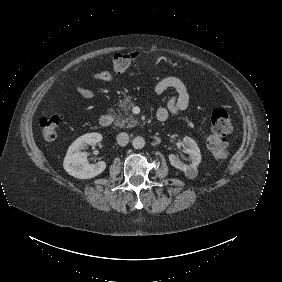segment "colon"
I'll list each match as a JSON object with an SVG mask.
<instances>
[{"mask_svg":"<svg viewBox=\"0 0 282 282\" xmlns=\"http://www.w3.org/2000/svg\"><path fill=\"white\" fill-rule=\"evenodd\" d=\"M140 60V53H117L113 58V67L118 72H124L134 66ZM210 133L207 138V149L210 154L220 160L227 157L228 142L227 136L232 128V117L228 109H215L210 118ZM61 120L58 115L45 116L40 121L41 134L45 140L56 138Z\"/></svg>","mask_w":282,"mask_h":282,"instance_id":"colon-1","label":"colon"}]
</instances>
